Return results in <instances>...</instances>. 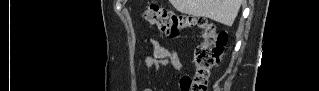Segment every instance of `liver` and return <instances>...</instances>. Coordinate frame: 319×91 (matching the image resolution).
Instances as JSON below:
<instances>
[{
    "instance_id": "1",
    "label": "liver",
    "mask_w": 319,
    "mask_h": 91,
    "mask_svg": "<svg viewBox=\"0 0 319 91\" xmlns=\"http://www.w3.org/2000/svg\"><path fill=\"white\" fill-rule=\"evenodd\" d=\"M174 8L187 15L205 17L232 26L242 0H170Z\"/></svg>"
}]
</instances>
